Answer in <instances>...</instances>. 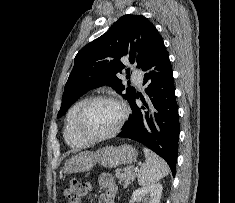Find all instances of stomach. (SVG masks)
I'll return each mask as SVG.
<instances>
[{
  "instance_id": "stomach-1",
  "label": "stomach",
  "mask_w": 235,
  "mask_h": 203,
  "mask_svg": "<svg viewBox=\"0 0 235 203\" xmlns=\"http://www.w3.org/2000/svg\"><path fill=\"white\" fill-rule=\"evenodd\" d=\"M137 150L130 145L106 146L96 152L84 151L67 160L63 172L66 174L85 172L97 163L105 167L131 164L136 160Z\"/></svg>"
}]
</instances>
